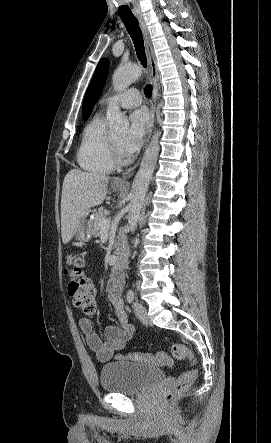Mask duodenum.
<instances>
[{"label": "duodenum", "mask_w": 271, "mask_h": 443, "mask_svg": "<svg viewBox=\"0 0 271 443\" xmlns=\"http://www.w3.org/2000/svg\"><path fill=\"white\" fill-rule=\"evenodd\" d=\"M125 263H126V258L123 254L117 257L112 267V272L115 276L119 277L121 275Z\"/></svg>", "instance_id": "410a0bca"}]
</instances>
